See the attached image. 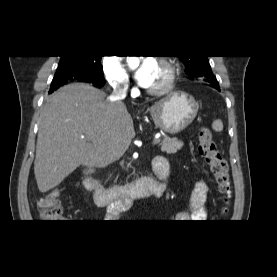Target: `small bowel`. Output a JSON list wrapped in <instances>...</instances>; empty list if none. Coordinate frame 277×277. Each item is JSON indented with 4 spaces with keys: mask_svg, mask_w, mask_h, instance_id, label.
I'll return each instance as SVG.
<instances>
[{
    "mask_svg": "<svg viewBox=\"0 0 277 277\" xmlns=\"http://www.w3.org/2000/svg\"><path fill=\"white\" fill-rule=\"evenodd\" d=\"M152 169H153L155 175L159 178L160 174H161V170L158 167L157 163L154 162V160H152ZM169 177H170V172H169L168 177L162 182L161 195H163V193L167 187ZM207 193H208L207 184L203 181L197 182L195 185V188L191 194V197L189 199L187 209L180 212L177 215V218L180 220H186V219L202 220V219H205L206 215H207L206 214V206H205Z\"/></svg>",
    "mask_w": 277,
    "mask_h": 277,
    "instance_id": "small-bowel-1",
    "label": "small bowel"
}]
</instances>
